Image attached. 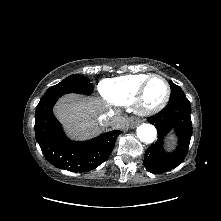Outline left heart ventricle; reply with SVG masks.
Listing matches in <instances>:
<instances>
[{"mask_svg": "<svg viewBox=\"0 0 221 221\" xmlns=\"http://www.w3.org/2000/svg\"><path fill=\"white\" fill-rule=\"evenodd\" d=\"M166 94V87L162 80L153 79L149 83L145 92V103L147 105H154L160 102Z\"/></svg>", "mask_w": 221, "mask_h": 221, "instance_id": "obj_1", "label": "left heart ventricle"}]
</instances>
